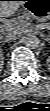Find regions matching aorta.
<instances>
[{
	"label": "aorta",
	"instance_id": "aorta-1",
	"mask_svg": "<svg viewBox=\"0 0 50 111\" xmlns=\"http://www.w3.org/2000/svg\"><path fill=\"white\" fill-rule=\"evenodd\" d=\"M25 45L29 48H37L40 45V39L36 35H28L25 38Z\"/></svg>",
	"mask_w": 50,
	"mask_h": 111
}]
</instances>
